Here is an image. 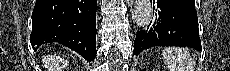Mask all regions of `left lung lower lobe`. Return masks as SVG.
Segmentation results:
<instances>
[{"label": "left lung lower lobe", "mask_w": 230, "mask_h": 71, "mask_svg": "<svg viewBox=\"0 0 230 71\" xmlns=\"http://www.w3.org/2000/svg\"><path fill=\"white\" fill-rule=\"evenodd\" d=\"M155 4L154 21L146 30L137 31L134 55L153 46H187L201 51L195 0H157Z\"/></svg>", "instance_id": "left-lung-lower-lobe-1"}]
</instances>
